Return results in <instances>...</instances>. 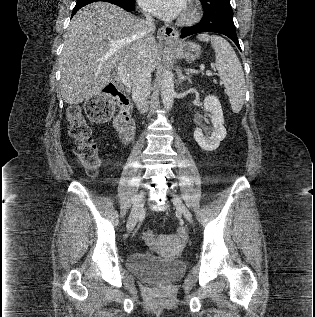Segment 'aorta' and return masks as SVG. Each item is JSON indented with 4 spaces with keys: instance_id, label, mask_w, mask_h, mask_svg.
Masks as SVG:
<instances>
[{
    "instance_id": "762f6f07",
    "label": "aorta",
    "mask_w": 315,
    "mask_h": 317,
    "mask_svg": "<svg viewBox=\"0 0 315 317\" xmlns=\"http://www.w3.org/2000/svg\"><path fill=\"white\" fill-rule=\"evenodd\" d=\"M175 97L174 80L171 71H164L161 79V98L164 107L169 110L172 108Z\"/></svg>"
}]
</instances>
